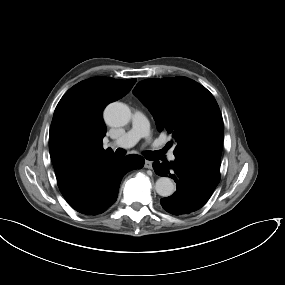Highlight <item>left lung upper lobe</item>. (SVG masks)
<instances>
[{"mask_svg": "<svg viewBox=\"0 0 285 285\" xmlns=\"http://www.w3.org/2000/svg\"><path fill=\"white\" fill-rule=\"evenodd\" d=\"M133 94L152 113L159 131L177 142L175 157L200 159L220 166L223 119L212 94L186 77L146 79Z\"/></svg>", "mask_w": 285, "mask_h": 285, "instance_id": "1", "label": "left lung upper lobe"}]
</instances>
